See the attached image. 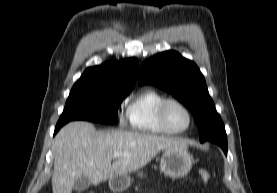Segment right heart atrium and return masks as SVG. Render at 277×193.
I'll return each mask as SVG.
<instances>
[{
	"instance_id": "d8ad5b80",
	"label": "right heart atrium",
	"mask_w": 277,
	"mask_h": 193,
	"mask_svg": "<svg viewBox=\"0 0 277 193\" xmlns=\"http://www.w3.org/2000/svg\"><path fill=\"white\" fill-rule=\"evenodd\" d=\"M120 123L123 124L124 123V118L121 116L120 117Z\"/></svg>"
}]
</instances>
